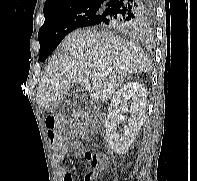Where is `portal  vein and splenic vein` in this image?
Listing matches in <instances>:
<instances>
[{
  "label": "portal vein and splenic vein",
  "mask_w": 197,
  "mask_h": 181,
  "mask_svg": "<svg viewBox=\"0 0 197 181\" xmlns=\"http://www.w3.org/2000/svg\"><path fill=\"white\" fill-rule=\"evenodd\" d=\"M84 74L86 76H89L90 78H95V77H98L100 74L97 73V72H90V71H85Z\"/></svg>",
  "instance_id": "portal-vein-and-splenic-vein-1"
}]
</instances>
